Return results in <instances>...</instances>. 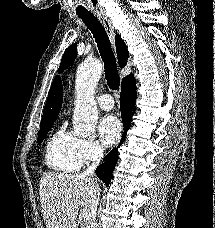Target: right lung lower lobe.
<instances>
[{
    "label": "right lung lower lobe",
    "instance_id": "right-lung-lower-lobe-1",
    "mask_svg": "<svg viewBox=\"0 0 215 228\" xmlns=\"http://www.w3.org/2000/svg\"><path fill=\"white\" fill-rule=\"evenodd\" d=\"M137 98L136 81L133 74H130L122 80V90L120 95V111L122 114V122L124 125V135L120 141V145L124 142L126 133L131 126V118L135 112V100ZM118 160V150H111L104 158V163L97 167V176L110 184L112 173Z\"/></svg>",
    "mask_w": 215,
    "mask_h": 228
}]
</instances>
